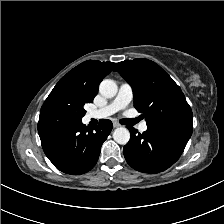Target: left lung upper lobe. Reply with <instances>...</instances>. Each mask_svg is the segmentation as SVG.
<instances>
[{"mask_svg": "<svg viewBox=\"0 0 224 224\" xmlns=\"http://www.w3.org/2000/svg\"><path fill=\"white\" fill-rule=\"evenodd\" d=\"M114 71L131 85L134 105L148 126L193 128V114L180 87L155 62L137 58L117 63Z\"/></svg>", "mask_w": 224, "mask_h": 224, "instance_id": "5c2ea615", "label": "left lung upper lobe"}]
</instances>
